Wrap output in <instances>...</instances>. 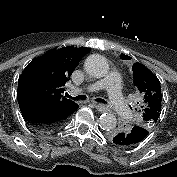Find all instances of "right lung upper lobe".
<instances>
[{
    "mask_svg": "<svg viewBox=\"0 0 177 177\" xmlns=\"http://www.w3.org/2000/svg\"><path fill=\"white\" fill-rule=\"evenodd\" d=\"M88 48L64 47L48 51L28 64L18 80L19 105L69 109L76 103L62 96L64 85Z\"/></svg>",
    "mask_w": 177,
    "mask_h": 177,
    "instance_id": "1",
    "label": "right lung upper lobe"
}]
</instances>
